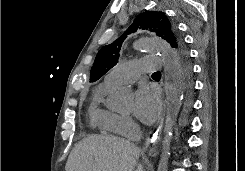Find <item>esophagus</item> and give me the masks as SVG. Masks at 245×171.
<instances>
[{
	"label": "esophagus",
	"mask_w": 245,
	"mask_h": 171,
	"mask_svg": "<svg viewBox=\"0 0 245 171\" xmlns=\"http://www.w3.org/2000/svg\"><path fill=\"white\" fill-rule=\"evenodd\" d=\"M165 110H166V104H163V109H162V113L159 117V120L155 126L154 131L151 133V135L146 139L145 142V150L147 151L148 154H153L155 152V144L158 141L161 131H162V127H163V122H164V118H165Z\"/></svg>",
	"instance_id": "esophagus-1"
}]
</instances>
